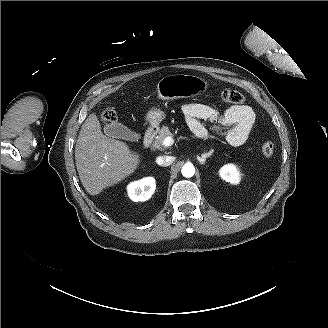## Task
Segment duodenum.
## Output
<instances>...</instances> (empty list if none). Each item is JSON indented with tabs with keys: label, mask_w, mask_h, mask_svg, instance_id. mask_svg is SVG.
<instances>
[{
	"label": "duodenum",
	"mask_w": 328,
	"mask_h": 328,
	"mask_svg": "<svg viewBox=\"0 0 328 328\" xmlns=\"http://www.w3.org/2000/svg\"><path fill=\"white\" fill-rule=\"evenodd\" d=\"M156 135V129L154 127H150L146 130L144 138H143V147L147 148L151 145Z\"/></svg>",
	"instance_id": "obj_1"
}]
</instances>
